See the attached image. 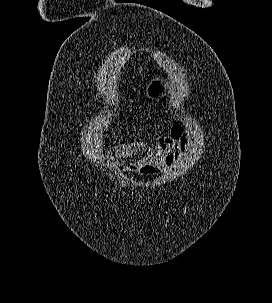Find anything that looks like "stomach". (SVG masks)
Masks as SVG:
<instances>
[{
	"label": "stomach",
	"instance_id": "1",
	"mask_svg": "<svg viewBox=\"0 0 272 303\" xmlns=\"http://www.w3.org/2000/svg\"><path fill=\"white\" fill-rule=\"evenodd\" d=\"M172 91V83L165 78H152L146 85L145 95L152 101H158Z\"/></svg>",
	"mask_w": 272,
	"mask_h": 303
}]
</instances>
